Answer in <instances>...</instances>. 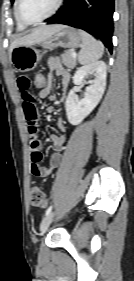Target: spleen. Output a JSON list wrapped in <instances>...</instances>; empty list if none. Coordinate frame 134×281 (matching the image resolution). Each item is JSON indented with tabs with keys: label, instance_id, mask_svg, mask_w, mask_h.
I'll return each mask as SVG.
<instances>
[{
	"label": "spleen",
	"instance_id": "spleen-1",
	"mask_svg": "<svg viewBox=\"0 0 134 281\" xmlns=\"http://www.w3.org/2000/svg\"><path fill=\"white\" fill-rule=\"evenodd\" d=\"M82 48L78 55L80 64H90L100 59L104 53V45L90 34L81 31Z\"/></svg>",
	"mask_w": 134,
	"mask_h": 281
}]
</instances>
